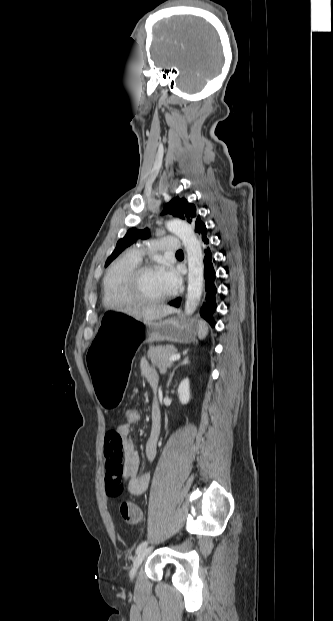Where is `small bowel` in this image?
<instances>
[{"instance_id":"obj_1","label":"small bowel","mask_w":333,"mask_h":621,"mask_svg":"<svg viewBox=\"0 0 333 621\" xmlns=\"http://www.w3.org/2000/svg\"><path fill=\"white\" fill-rule=\"evenodd\" d=\"M142 375L151 388L158 386V373L143 360ZM152 429L145 443L144 452L149 461L157 454V443L160 433V413L156 403L152 406ZM134 425L127 422L119 424L105 435L103 454L105 457V487L108 495L117 497L126 490L135 496L142 495L148 489L150 476L140 472V459L136 445L132 439Z\"/></svg>"}]
</instances>
